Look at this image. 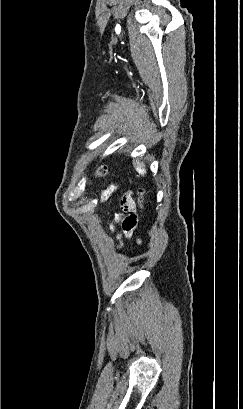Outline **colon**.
Here are the masks:
<instances>
[{
  "label": "colon",
  "mask_w": 243,
  "mask_h": 409,
  "mask_svg": "<svg viewBox=\"0 0 243 409\" xmlns=\"http://www.w3.org/2000/svg\"><path fill=\"white\" fill-rule=\"evenodd\" d=\"M105 173H106L105 168H100L97 171L98 176H103ZM137 193H138V205H139L140 208H143L145 191H144L143 188L140 187V188H138Z\"/></svg>",
  "instance_id": "5ec220e1"
}]
</instances>
